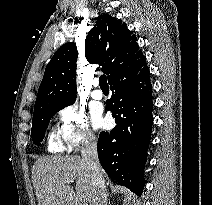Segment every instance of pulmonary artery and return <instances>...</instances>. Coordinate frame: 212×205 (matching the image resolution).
Wrapping results in <instances>:
<instances>
[{"label": "pulmonary artery", "instance_id": "obj_1", "mask_svg": "<svg viewBox=\"0 0 212 205\" xmlns=\"http://www.w3.org/2000/svg\"><path fill=\"white\" fill-rule=\"evenodd\" d=\"M91 96L95 100H101L103 98V92L99 89L98 80L93 81V90L91 91Z\"/></svg>", "mask_w": 212, "mask_h": 205}]
</instances>
